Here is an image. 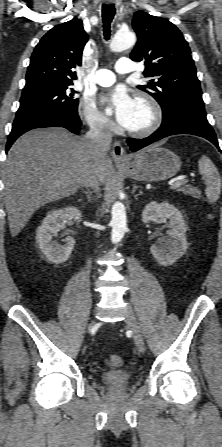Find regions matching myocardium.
Wrapping results in <instances>:
<instances>
[{
    "mask_svg": "<svg viewBox=\"0 0 222 447\" xmlns=\"http://www.w3.org/2000/svg\"><path fill=\"white\" fill-rule=\"evenodd\" d=\"M135 101L145 105L150 113L148 123L140 128H127L126 132L134 137H145L155 132L161 125L163 113L159 103L148 94H140L135 98Z\"/></svg>",
    "mask_w": 222,
    "mask_h": 447,
    "instance_id": "1",
    "label": "myocardium"
}]
</instances>
